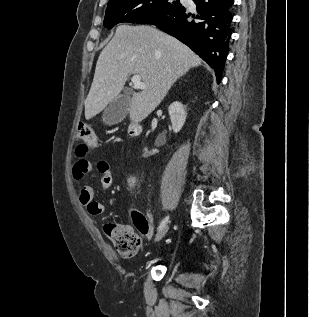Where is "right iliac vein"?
<instances>
[{
    "mask_svg": "<svg viewBox=\"0 0 309 317\" xmlns=\"http://www.w3.org/2000/svg\"><path fill=\"white\" fill-rule=\"evenodd\" d=\"M168 231V225H165L159 232L156 234L154 241L158 242L160 241L167 233Z\"/></svg>",
    "mask_w": 309,
    "mask_h": 317,
    "instance_id": "1",
    "label": "right iliac vein"
}]
</instances>
